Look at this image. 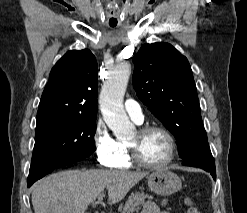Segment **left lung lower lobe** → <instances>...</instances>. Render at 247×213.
<instances>
[{
    "instance_id": "0a47b994",
    "label": "left lung lower lobe",
    "mask_w": 247,
    "mask_h": 213,
    "mask_svg": "<svg viewBox=\"0 0 247 213\" xmlns=\"http://www.w3.org/2000/svg\"><path fill=\"white\" fill-rule=\"evenodd\" d=\"M183 160V165L202 168L210 172L214 180L216 179L215 162L208 141L197 143L194 149Z\"/></svg>"
}]
</instances>
